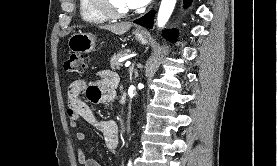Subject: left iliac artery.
<instances>
[{
	"label": "left iliac artery",
	"instance_id": "44dca946",
	"mask_svg": "<svg viewBox=\"0 0 277 166\" xmlns=\"http://www.w3.org/2000/svg\"><path fill=\"white\" fill-rule=\"evenodd\" d=\"M128 166H132V162L130 160L128 162Z\"/></svg>",
	"mask_w": 277,
	"mask_h": 166
}]
</instances>
